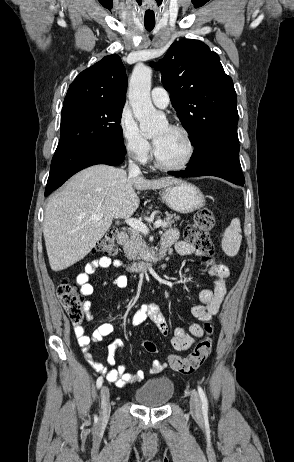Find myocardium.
<instances>
[{
	"instance_id": "obj_1",
	"label": "myocardium",
	"mask_w": 294,
	"mask_h": 462,
	"mask_svg": "<svg viewBox=\"0 0 294 462\" xmlns=\"http://www.w3.org/2000/svg\"><path fill=\"white\" fill-rule=\"evenodd\" d=\"M168 127L173 130L179 131L184 135L187 141V145H188V153L185 159L178 164H165L160 160L157 154L155 143H154L153 144L154 164L157 168L164 170V171H180L188 167L191 161L193 160L195 153H196V144H195V141H194V138L191 132L185 126L180 125V124H169Z\"/></svg>"
}]
</instances>
